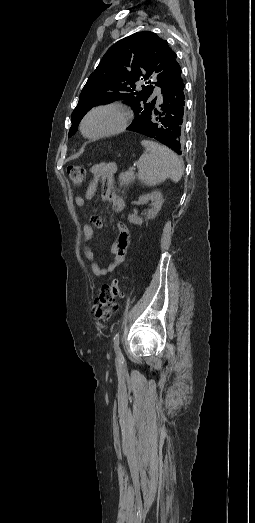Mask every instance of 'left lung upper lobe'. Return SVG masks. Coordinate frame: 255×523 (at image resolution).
I'll return each mask as SVG.
<instances>
[{"instance_id": "1", "label": "left lung upper lobe", "mask_w": 255, "mask_h": 523, "mask_svg": "<svg viewBox=\"0 0 255 523\" xmlns=\"http://www.w3.org/2000/svg\"><path fill=\"white\" fill-rule=\"evenodd\" d=\"M176 57L167 41L150 31L137 32L115 43L82 89L71 116L69 137L76 133L79 122L92 107L115 100H125L135 112L134 125H143L158 105L156 98L148 100L154 87L143 85L138 91L135 82L152 79L162 94L168 92L183 80ZM149 83L151 80L146 82ZM182 95L184 97L183 92ZM128 130L135 131V126L132 124Z\"/></svg>"}]
</instances>
